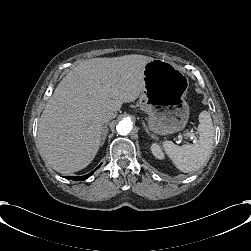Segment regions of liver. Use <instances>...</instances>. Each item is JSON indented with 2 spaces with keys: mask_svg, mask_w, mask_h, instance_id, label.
I'll list each match as a JSON object with an SVG mask.
<instances>
[{
  "mask_svg": "<svg viewBox=\"0 0 251 251\" xmlns=\"http://www.w3.org/2000/svg\"><path fill=\"white\" fill-rule=\"evenodd\" d=\"M152 57L131 54L79 63L60 81L38 124L40 153L62 174L84 169L98 152L103 117L135 101Z\"/></svg>",
  "mask_w": 251,
  "mask_h": 251,
  "instance_id": "6515ba94",
  "label": "liver"
}]
</instances>
